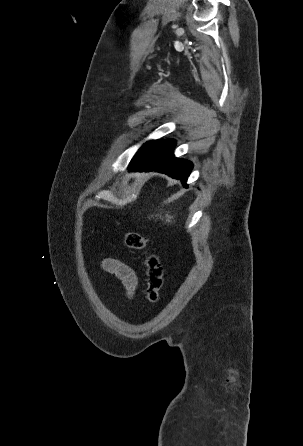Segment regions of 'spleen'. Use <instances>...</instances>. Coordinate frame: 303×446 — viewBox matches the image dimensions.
<instances>
[{
  "mask_svg": "<svg viewBox=\"0 0 303 446\" xmlns=\"http://www.w3.org/2000/svg\"><path fill=\"white\" fill-rule=\"evenodd\" d=\"M166 218H167L166 221H167V222H170L172 217H171L170 215L167 214V215H166Z\"/></svg>",
  "mask_w": 303,
  "mask_h": 446,
  "instance_id": "3e777b00",
  "label": "spleen"
}]
</instances>
